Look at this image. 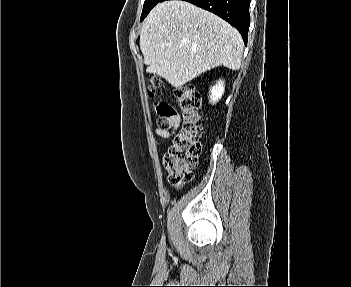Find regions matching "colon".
<instances>
[{"label":"colon","instance_id":"5ec220e1","mask_svg":"<svg viewBox=\"0 0 351 287\" xmlns=\"http://www.w3.org/2000/svg\"><path fill=\"white\" fill-rule=\"evenodd\" d=\"M158 84L157 78L151 80L147 88L149 95H153ZM177 97L183 124L181 131L175 136L173 144L164 156V165L169 172V181L179 189L193 177L192 170L197 165L201 152L199 138L203 127L200 113L201 100L195 87L191 84L182 86L177 91ZM156 110L159 116V127L169 128L173 118L177 115L174 108L166 102H159Z\"/></svg>","mask_w":351,"mask_h":287}]
</instances>
